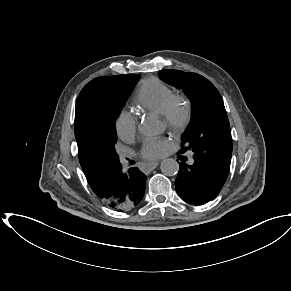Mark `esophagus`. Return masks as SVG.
Here are the masks:
<instances>
[{
    "instance_id": "esophagus-1",
    "label": "esophagus",
    "mask_w": 291,
    "mask_h": 291,
    "mask_svg": "<svg viewBox=\"0 0 291 291\" xmlns=\"http://www.w3.org/2000/svg\"><path fill=\"white\" fill-rule=\"evenodd\" d=\"M159 163L160 162H158V161L157 162H150L147 164V168L152 170V169L156 168L159 165Z\"/></svg>"
}]
</instances>
